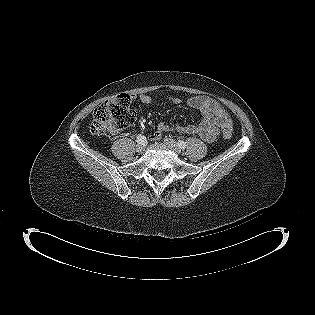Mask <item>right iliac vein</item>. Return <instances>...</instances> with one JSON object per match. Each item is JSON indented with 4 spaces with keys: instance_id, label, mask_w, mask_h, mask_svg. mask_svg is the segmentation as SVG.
<instances>
[{
    "instance_id": "right-iliac-vein-1",
    "label": "right iliac vein",
    "mask_w": 315,
    "mask_h": 315,
    "mask_svg": "<svg viewBox=\"0 0 315 315\" xmlns=\"http://www.w3.org/2000/svg\"><path fill=\"white\" fill-rule=\"evenodd\" d=\"M144 149H145V146H144L143 144H138V145L136 146V150H137V152H139V153H142V152L144 151Z\"/></svg>"
}]
</instances>
